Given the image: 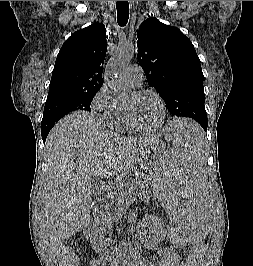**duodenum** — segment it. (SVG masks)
<instances>
[{"mask_svg": "<svg viewBox=\"0 0 253 266\" xmlns=\"http://www.w3.org/2000/svg\"><path fill=\"white\" fill-rule=\"evenodd\" d=\"M92 233H93V227H89L87 229V237L91 238L92 237ZM99 262H104L105 266H113V261L111 258L109 257H105L104 259L98 260Z\"/></svg>", "mask_w": 253, "mask_h": 266, "instance_id": "duodenum-1", "label": "duodenum"}]
</instances>
